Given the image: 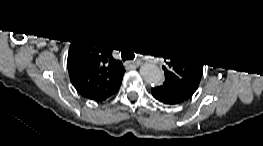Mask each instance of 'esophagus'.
<instances>
[{"label": "esophagus", "mask_w": 263, "mask_h": 146, "mask_svg": "<svg viewBox=\"0 0 263 146\" xmlns=\"http://www.w3.org/2000/svg\"><path fill=\"white\" fill-rule=\"evenodd\" d=\"M132 65L135 67V68H138L140 65H141V61L140 60H134L132 62Z\"/></svg>", "instance_id": "obj_1"}]
</instances>
